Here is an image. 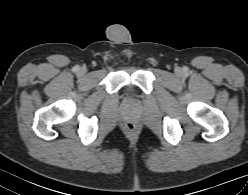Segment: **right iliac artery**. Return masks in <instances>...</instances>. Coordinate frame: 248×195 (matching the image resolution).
I'll return each instance as SVG.
<instances>
[{"label":"right iliac artery","mask_w":248,"mask_h":195,"mask_svg":"<svg viewBox=\"0 0 248 195\" xmlns=\"http://www.w3.org/2000/svg\"><path fill=\"white\" fill-rule=\"evenodd\" d=\"M79 66H75L74 68H73V71H75V72H77V71H79Z\"/></svg>","instance_id":"right-iliac-artery-1"}]
</instances>
